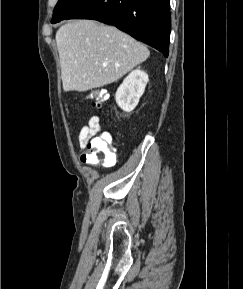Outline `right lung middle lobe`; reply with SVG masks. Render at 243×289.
<instances>
[{
    "label": "right lung middle lobe",
    "instance_id": "dd1d6c3e",
    "mask_svg": "<svg viewBox=\"0 0 243 289\" xmlns=\"http://www.w3.org/2000/svg\"><path fill=\"white\" fill-rule=\"evenodd\" d=\"M84 0H59L54 8L51 23H57L67 18Z\"/></svg>",
    "mask_w": 243,
    "mask_h": 289
}]
</instances>
